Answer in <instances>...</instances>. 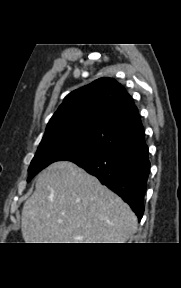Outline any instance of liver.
<instances>
[{"label":"liver","instance_id":"1","mask_svg":"<svg viewBox=\"0 0 181 288\" xmlns=\"http://www.w3.org/2000/svg\"><path fill=\"white\" fill-rule=\"evenodd\" d=\"M21 224L26 243H126L137 230L131 208L68 161L55 162L38 175Z\"/></svg>","mask_w":181,"mask_h":288}]
</instances>
